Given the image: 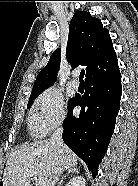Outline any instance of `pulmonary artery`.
<instances>
[{"mask_svg": "<svg viewBox=\"0 0 138 186\" xmlns=\"http://www.w3.org/2000/svg\"><path fill=\"white\" fill-rule=\"evenodd\" d=\"M79 80L77 79L76 76L73 77L72 81H71V85L73 88L77 89L79 87Z\"/></svg>", "mask_w": 138, "mask_h": 186, "instance_id": "obj_1", "label": "pulmonary artery"}]
</instances>
